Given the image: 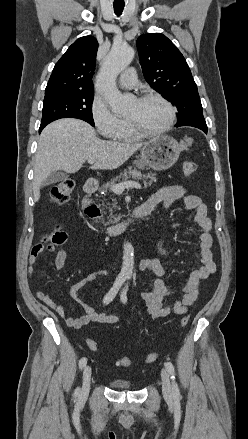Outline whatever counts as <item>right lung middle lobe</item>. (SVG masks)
<instances>
[{
    "label": "right lung middle lobe",
    "mask_w": 248,
    "mask_h": 439,
    "mask_svg": "<svg viewBox=\"0 0 248 439\" xmlns=\"http://www.w3.org/2000/svg\"><path fill=\"white\" fill-rule=\"evenodd\" d=\"M93 90H78L45 95L41 125L60 118H77L94 126Z\"/></svg>",
    "instance_id": "dd1d6c3e"
}]
</instances>
